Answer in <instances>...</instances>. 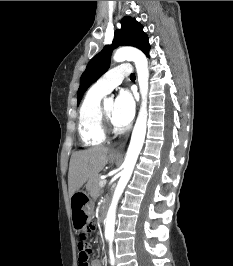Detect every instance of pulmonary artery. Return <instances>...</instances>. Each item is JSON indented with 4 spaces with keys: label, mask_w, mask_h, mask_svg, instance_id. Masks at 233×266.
Wrapping results in <instances>:
<instances>
[{
    "label": "pulmonary artery",
    "mask_w": 233,
    "mask_h": 266,
    "mask_svg": "<svg viewBox=\"0 0 233 266\" xmlns=\"http://www.w3.org/2000/svg\"><path fill=\"white\" fill-rule=\"evenodd\" d=\"M131 73V67L128 64H122L110 69L101 78H99L94 86L103 91L109 93L112 89L117 87L123 80Z\"/></svg>",
    "instance_id": "obj_1"
}]
</instances>
